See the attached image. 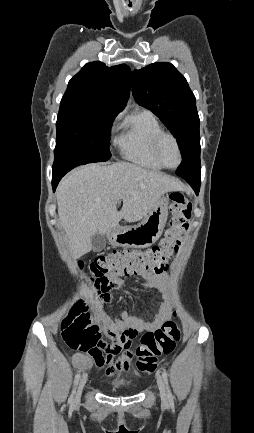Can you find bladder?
Returning <instances> with one entry per match:
<instances>
[{
    "instance_id": "31cf9c89",
    "label": "bladder",
    "mask_w": 254,
    "mask_h": 433,
    "mask_svg": "<svg viewBox=\"0 0 254 433\" xmlns=\"http://www.w3.org/2000/svg\"><path fill=\"white\" fill-rule=\"evenodd\" d=\"M112 392H123L127 390V387L122 383H112L108 385Z\"/></svg>"
}]
</instances>
